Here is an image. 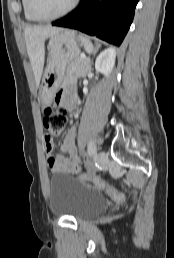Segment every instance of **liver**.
I'll use <instances>...</instances> for the list:
<instances>
[{"label":"liver","instance_id":"obj_1","mask_svg":"<svg viewBox=\"0 0 174 258\" xmlns=\"http://www.w3.org/2000/svg\"><path fill=\"white\" fill-rule=\"evenodd\" d=\"M62 31L51 26H27L24 29L27 53L33 68L36 86H39L45 59V40Z\"/></svg>","mask_w":174,"mask_h":258}]
</instances>
